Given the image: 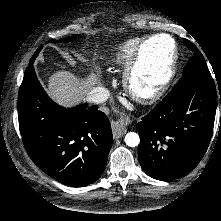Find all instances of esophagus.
I'll return each instance as SVG.
<instances>
[{
	"label": "esophagus",
	"instance_id": "1",
	"mask_svg": "<svg viewBox=\"0 0 221 221\" xmlns=\"http://www.w3.org/2000/svg\"><path fill=\"white\" fill-rule=\"evenodd\" d=\"M130 123H131V120L129 117L112 121L111 128H112L113 137L115 139L122 137L126 132V126L129 125Z\"/></svg>",
	"mask_w": 221,
	"mask_h": 221
}]
</instances>
